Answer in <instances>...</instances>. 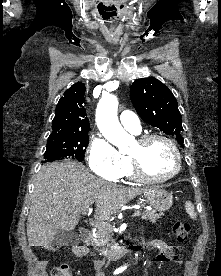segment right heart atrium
<instances>
[{"instance_id":"right-heart-atrium-1","label":"right heart atrium","mask_w":221,"mask_h":276,"mask_svg":"<svg viewBox=\"0 0 221 276\" xmlns=\"http://www.w3.org/2000/svg\"><path fill=\"white\" fill-rule=\"evenodd\" d=\"M126 158L109 141L101 136L93 137L88 148V164L98 176L117 181L122 177Z\"/></svg>"}]
</instances>
